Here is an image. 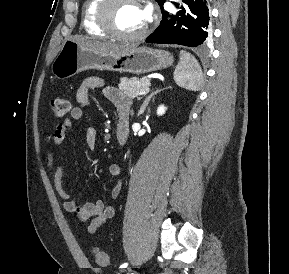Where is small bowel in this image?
Segmentation results:
<instances>
[{"mask_svg":"<svg viewBox=\"0 0 289 274\" xmlns=\"http://www.w3.org/2000/svg\"><path fill=\"white\" fill-rule=\"evenodd\" d=\"M94 89H102L104 96L118 109L119 113L125 112L129 114L130 100L125 94L115 87L107 86L104 80L99 77H88L81 82L76 92V100L79 105L70 110V118L57 125L53 132L52 143L55 148L58 149L63 144L72 121L83 118L84 108L89 105L90 92ZM85 140L88 149L93 151L97 145V133L94 126L88 127ZM61 160L62 158L59 154L53 151L47 153L46 163L56 191L64 200L63 208L73 214L76 220L80 222L90 220L87 230L89 234L94 235L107 220L114 217L115 209L112 205L105 204L101 199L84 203L74 201L71 194L62 185L64 168ZM108 173L113 177L119 178L121 167L117 164H111L108 167ZM121 189V180L118 179L110 191L111 199H116Z\"/></svg>","mask_w":289,"mask_h":274,"instance_id":"c3829d8e","label":"small bowel"}]
</instances>
